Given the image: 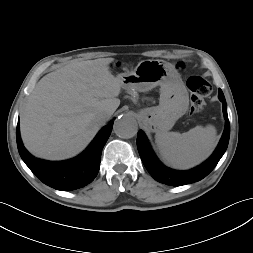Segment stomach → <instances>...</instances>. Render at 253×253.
Masks as SVG:
<instances>
[{"instance_id": "1", "label": "stomach", "mask_w": 253, "mask_h": 253, "mask_svg": "<svg viewBox=\"0 0 253 253\" xmlns=\"http://www.w3.org/2000/svg\"><path fill=\"white\" fill-rule=\"evenodd\" d=\"M124 89L146 92L160 86L159 105L140 111L144 126L152 132H167L189 106L188 91L174 65L164 60H142L131 71L117 76Z\"/></svg>"}]
</instances>
